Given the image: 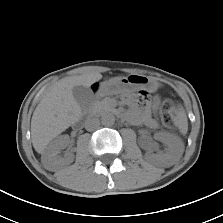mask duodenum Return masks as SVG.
Wrapping results in <instances>:
<instances>
[{
	"label": "duodenum",
	"instance_id": "obj_1",
	"mask_svg": "<svg viewBox=\"0 0 223 223\" xmlns=\"http://www.w3.org/2000/svg\"><path fill=\"white\" fill-rule=\"evenodd\" d=\"M75 125H76V126H79V125H80V123H76Z\"/></svg>",
	"mask_w": 223,
	"mask_h": 223
}]
</instances>
